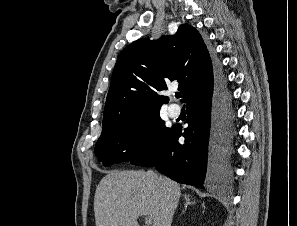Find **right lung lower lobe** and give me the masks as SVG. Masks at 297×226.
<instances>
[{"mask_svg": "<svg viewBox=\"0 0 297 226\" xmlns=\"http://www.w3.org/2000/svg\"><path fill=\"white\" fill-rule=\"evenodd\" d=\"M185 102L189 126L184 133L173 126L151 153L131 163L156 166L169 178L202 189L204 183H223L231 176L233 113L220 69H214L213 83L206 90ZM180 136L185 138L184 144L178 142Z\"/></svg>", "mask_w": 297, "mask_h": 226, "instance_id": "98d812e1", "label": "right lung lower lobe"}]
</instances>
